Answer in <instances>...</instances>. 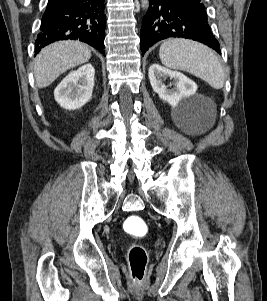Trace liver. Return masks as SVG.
<instances>
[{"instance_id":"1","label":"liver","mask_w":267,"mask_h":301,"mask_svg":"<svg viewBox=\"0 0 267 301\" xmlns=\"http://www.w3.org/2000/svg\"><path fill=\"white\" fill-rule=\"evenodd\" d=\"M91 58L89 47L79 41H59L43 48L35 59L36 85L45 88L61 74Z\"/></svg>"}]
</instances>
